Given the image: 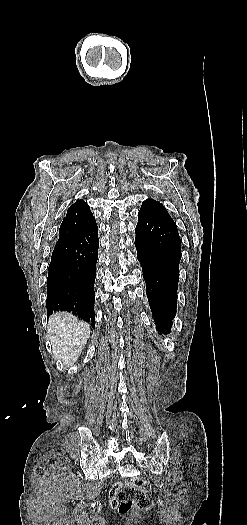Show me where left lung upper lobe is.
Here are the masks:
<instances>
[{"mask_svg":"<svg viewBox=\"0 0 247 525\" xmlns=\"http://www.w3.org/2000/svg\"><path fill=\"white\" fill-rule=\"evenodd\" d=\"M139 215L154 216L175 224L171 216L168 214L166 208L161 203L153 199H146L143 201L139 210Z\"/></svg>","mask_w":247,"mask_h":525,"instance_id":"left-lung-upper-lobe-1","label":"left lung upper lobe"}]
</instances>
